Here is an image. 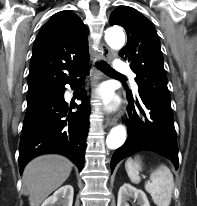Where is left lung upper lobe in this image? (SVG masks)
<instances>
[{
  "label": "left lung upper lobe",
  "mask_w": 197,
  "mask_h": 206,
  "mask_svg": "<svg viewBox=\"0 0 197 206\" xmlns=\"http://www.w3.org/2000/svg\"><path fill=\"white\" fill-rule=\"evenodd\" d=\"M109 23L126 30L128 42L120 51V56L130 62V68L136 74L138 92L170 102L160 41L152 23L128 6L116 8Z\"/></svg>",
  "instance_id": "5c2ea615"
}]
</instances>
